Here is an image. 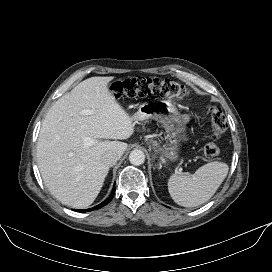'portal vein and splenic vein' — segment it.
<instances>
[{
	"instance_id": "portal-vein-and-splenic-vein-1",
	"label": "portal vein and splenic vein",
	"mask_w": 272,
	"mask_h": 272,
	"mask_svg": "<svg viewBox=\"0 0 272 272\" xmlns=\"http://www.w3.org/2000/svg\"><path fill=\"white\" fill-rule=\"evenodd\" d=\"M83 115H90L92 114V111L91 110H83L81 112ZM95 142L93 140H91L90 138H85L84 139V145L86 147H89V146H92Z\"/></svg>"
}]
</instances>
